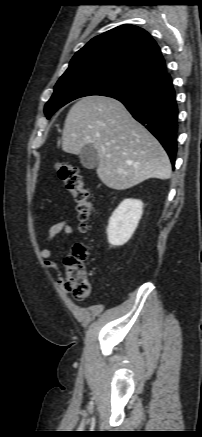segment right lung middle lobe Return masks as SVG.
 Returning a JSON list of instances; mask_svg holds the SVG:
<instances>
[{
    "instance_id": "obj_1",
    "label": "right lung middle lobe",
    "mask_w": 202,
    "mask_h": 437,
    "mask_svg": "<svg viewBox=\"0 0 202 437\" xmlns=\"http://www.w3.org/2000/svg\"><path fill=\"white\" fill-rule=\"evenodd\" d=\"M149 84L147 81L113 71L83 69L67 72L56 83L44 112L49 119L53 112L77 98L90 95L115 97L135 94Z\"/></svg>"
}]
</instances>
